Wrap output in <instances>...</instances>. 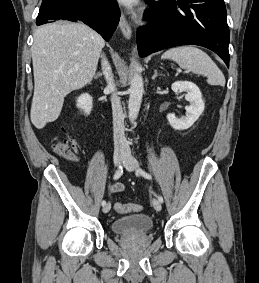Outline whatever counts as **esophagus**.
Here are the masks:
<instances>
[{"instance_id": "obj_1", "label": "esophagus", "mask_w": 259, "mask_h": 283, "mask_svg": "<svg viewBox=\"0 0 259 283\" xmlns=\"http://www.w3.org/2000/svg\"><path fill=\"white\" fill-rule=\"evenodd\" d=\"M119 27L124 37L130 39L132 36V30L124 14H121Z\"/></svg>"}]
</instances>
